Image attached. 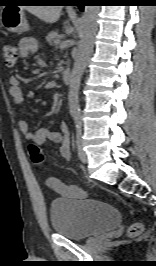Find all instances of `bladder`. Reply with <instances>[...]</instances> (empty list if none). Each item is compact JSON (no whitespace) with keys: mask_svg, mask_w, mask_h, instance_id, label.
Masks as SVG:
<instances>
[{"mask_svg":"<svg viewBox=\"0 0 156 266\" xmlns=\"http://www.w3.org/2000/svg\"><path fill=\"white\" fill-rule=\"evenodd\" d=\"M50 218L55 233L74 240L107 232L121 221V215L114 206L88 198L53 201Z\"/></svg>","mask_w":156,"mask_h":266,"instance_id":"bladder-1","label":"bladder"}]
</instances>
